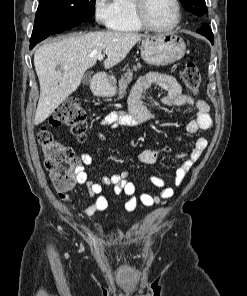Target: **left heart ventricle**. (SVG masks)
Returning a JSON list of instances; mask_svg holds the SVG:
<instances>
[{
	"instance_id": "left-heart-ventricle-1",
	"label": "left heart ventricle",
	"mask_w": 247,
	"mask_h": 296,
	"mask_svg": "<svg viewBox=\"0 0 247 296\" xmlns=\"http://www.w3.org/2000/svg\"><path fill=\"white\" fill-rule=\"evenodd\" d=\"M146 16L156 27H167L174 21L175 8L172 0H147Z\"/></svg>"
}]
</instances>
